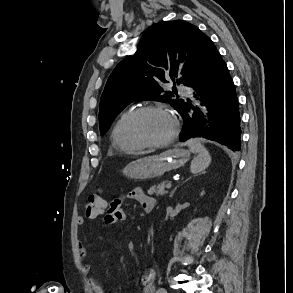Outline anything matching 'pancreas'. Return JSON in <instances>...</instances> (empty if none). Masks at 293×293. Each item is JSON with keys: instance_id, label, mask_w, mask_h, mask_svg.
I'll list each match as a JSON object with an SVG mask.
<instances>
[{"instance_id": "1", "label": "pancreas", "mask_w": 293, "mask_h": 293, "mask_svg": "<svg viewBox=\"0 0 293 293\" xmlns=\"http://www.w3.org/2000/svg\"><path fill=\"white\" fill-rule=\"evenodd\" d=\"M166 188V182L163 181L161 183H159L158 185H153L149 190H148V194L150 195H156V196H163L167 193V191L165 190Z\"/></svg>"}]
</instances>
